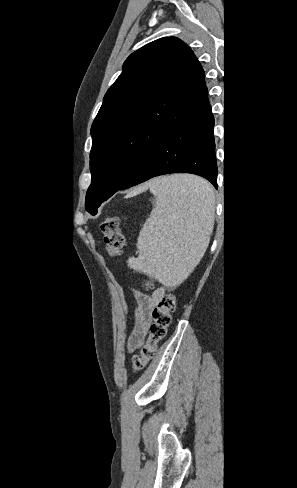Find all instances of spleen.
<instances>
[{"instance_id": "obj_1", "label": "spleen", "mask_w": 297, "mask_h": 488, "mask_svg": "<svg viewBox=\"0 0 297 488\" xmlns=\"http://www.w3.org/2000/svg\"><path fill=\"white\" fill-rule=\"evenodd\" d=\"M150 191L156 203L138 237L139 256L128 265L162 283L180 282L212 231L214 194L204 179L180 174L154 179Z\"/></svg>"}]
</instances>
